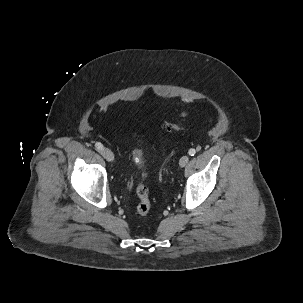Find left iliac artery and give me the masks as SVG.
<instances>
[{"instance_id": "left-iliac-artery-1", "label": "left iliac artery", "mask_w": 303, "mask_h": 303, "mask_svg": "<svg viewBox=\"0 0 303 303\" xmlns=\"http://www.w3.org/2000/svg\"><path fill=\"white\" fill-rule=\"evenodd\" d=\"M188 154H189L190 156H194V155L196 154V150L193 149V148H191V149L188 151Z\"/></svg>"}]
</instances>
